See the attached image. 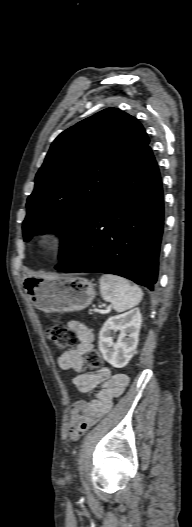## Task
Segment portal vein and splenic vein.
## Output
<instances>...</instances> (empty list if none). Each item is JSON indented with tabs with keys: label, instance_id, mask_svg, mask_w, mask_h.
Returning <instances> with one entry per match:
<instances>
[{
	"label": "portal vein and splenic vein",
	"instance_id": "18ae733b",
	"mask_svg": "<svg viewBox=\"0 0 192 527\" xmlns=\"http://www.w3.org/2000/svg\"><path fill=\"white\" fill-rule=\"evenodd\" d=\"M95 312L104 313V311L100 309H95Z\"/></svg>",
	"mask_w": 192,
	"mask_h": 527
}]
</instances>
